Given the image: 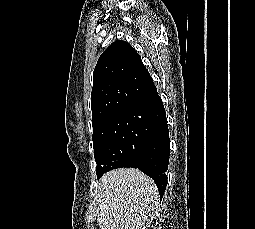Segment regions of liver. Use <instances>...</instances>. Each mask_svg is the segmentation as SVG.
<instances>
[{
  "instance_id": "6515ba94",
  "label": "liver",
  "mask_w": 255,
  "mask_h": 229,
  "mask_svg": "<svg viewBox=\"0 0 255 229\" xmlns=\"http://www.w3.org/2000/svg\"><path fill=\"white\" fill-rule=\"evenodd\" d=\"M154 181L133 168L106 173L98 185L97 223L100 229H146L158 208Z\"/></svg>"
}]
</instances>
